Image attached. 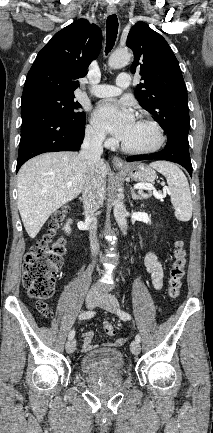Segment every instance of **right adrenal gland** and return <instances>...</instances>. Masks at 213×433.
Returning <instances> with one entry per match:
<instances>
[{
	"label": "right adrenal gland",
	"mask_w": 213,
	"mask_h": 433,
	"mask_svg": "<svg viewBox=\"0 0 213 433\" xmlns=\"http://www.w3.org/2000/svg\"><path fill=\"white\" fill-rule=\"evenodd\" d=\"M80 201H83V199H82V198H80Z\"/></svg>",
	"instance_id": "1"
}]
</instances>
